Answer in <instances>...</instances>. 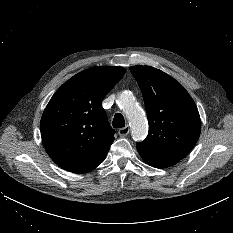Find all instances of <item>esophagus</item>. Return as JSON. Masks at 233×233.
Listing matches in <instances>:
<instances>
[{
  "instance_id": "esophagus-1",
  "label": "esophagus",
  "mask_w": 233,
  "mask_h": 233,
  "mask_svg": "<svg viewBox=\"0 0 233 233\" xmlns=\"http://www.w3.org/2000/svg\"><path fill=\"white\" fill-rule=\"evenodd\" d=\"M129 132H130V128H129L128 125L125 126V127H123V128H121V129H119V131H118V133H119V135H120L121 137L127 136V135L129 134Z\"/></svg>"
}]
</instances>
